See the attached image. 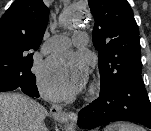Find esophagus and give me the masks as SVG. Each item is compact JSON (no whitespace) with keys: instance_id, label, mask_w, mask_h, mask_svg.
Here are the masks:
<instances>
[{"instance_id":"obj_1","label":"esophagus","mask_w":151,"mask_h":131,"mask_svg":"<svg viewBox=\"0 0 151 131\" xmlns=\"http://www.w3.org/2000/svg\"><path fill=\"white\" fill-rule=\"evenodd\" d=\"M50 113L55 120L61 123L71 122L72 124H75L77 122V115L75 113L64 111L58 104L51 105Z\"/></svg>"}]
</instances>
